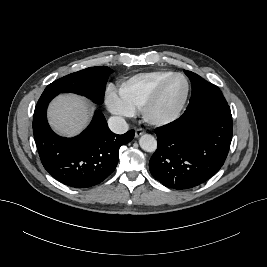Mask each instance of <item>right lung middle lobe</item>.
Returning <instances> with one entry per match:
<instances>
[{
	"mask_svg": "<svg viewBox=\"0 0 267 267\" xmlns=\"http://www.w3.org/2000/svg\"><path fill=\"white\" fill-rule=\"evenodd\" d=\"M112 72L113 70L106 66L86 68L52 82L43 93L72 92L102 104L105 86Z\"/></svg>",
	"mask_w": 267,
	"mask_h": 267,
	"instance_id": "1",
	"label": "right lung middle lobe"
}]
</instances>
